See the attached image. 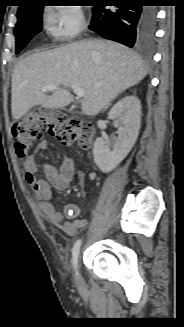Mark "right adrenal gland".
I'll return each mask as SVG.
<instances>
[{"label":"right adrenal gland","instance_id":"2a0ac1e0","mask_svg":"<svg viewBox=\"0 0 184 327\" xmlns=\"http://www.w3.org/2000/svg\"><path fill=\"white\" fill-rule=\"evenodd\" d=\"M110 104H108L104 109H107V107L109 106Z\"/></svg>","mask_w":184,"mask_h":327}]
</instances>
